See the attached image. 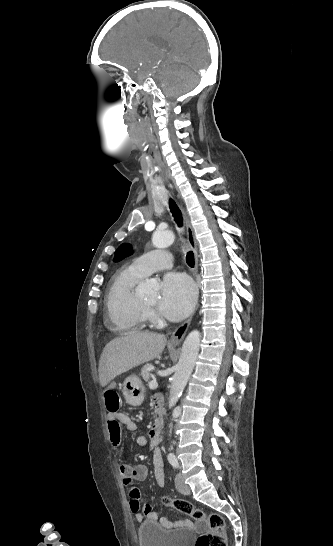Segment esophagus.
<instances>
[{
  "instance_id": "1",
  "label": "esophagus",
  "mask_w": 333,
  "mask_h": 546,
  "mask_svg": "<svg viewBox=\"0 0 333 546\" xmlns=\"http://www.w3.org/2000/svg\"><path fill=\"white\" fill-rule=\"evenodd\" d=\"M181 210H182V213L184 215V218H185V223H186V231H187V240H188V244L189 246L191 247V249L193 250V253H194V261H195V265H194V271L195 273L198 271V262H199V259H198V251H197V244H196V240H195V237H194V232H193V229L190 225V222H189V219L187 217V214L184 210V208L181 206ZM191 320H192V317L188 318L182 325H180L172 334L171 338H170V342L173 343V344H178L180 343L187 330H188V327L191 323Z\"/></svg>"
}]
</instances>
